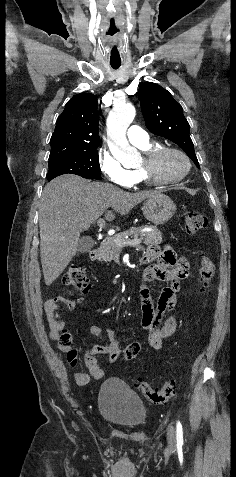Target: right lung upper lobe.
Segmentation results:
<instances>
[{
    "label": "right lung upper lobe",
    "instance_id": "cb5924a9",
    "mask_svg": "<svg viewBox=\"0 0 236 477\" xmlns=\"http://www.w3.org/2000/svg\"><path fill=\"white\" fill-rule=\"evenodd\" d=\"M97 98L80 93L66 104L51 137L49 161L99 145Z\"/></svg>",
    "mask_w": 236,
    "mask_h": 477
}]
</instances>
